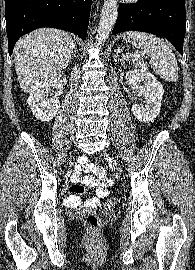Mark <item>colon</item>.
I'll list each match as a JSON object with an SVG mask.
<instances>
[{
  "label": "colon",
  "instance_id": "5ec220e1",
  "mask_svg": "<svg viewBox=\"0 0 195 270\" xmlns=\"http://www.w3.org/2000/svg\"><path fill=\"white\" fill-rule=\"evenodd\" d=\"M116 203H117V200L115 198H111L110 200H108V206H113ZM85 223H86L88 230L92 234L97 233V231L100 227V219L96 214H94V213L88 214L86 216Z\"/></svg>",
  "mask_w": 195,
  "mask_h": 270
}]
</instances>
